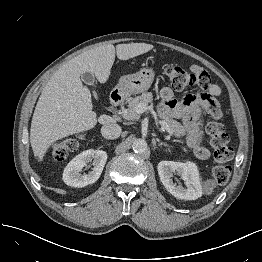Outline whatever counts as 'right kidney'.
<instances>
[{"instance_id":"ca27d5eb","label":"right kidney","mask_w":262,"mask_h":262,"mask_svg":"<svg viewBox=\"0 0 262 262\" xmlns=\"http://www.w3.org/2000/svg\"><path fill=\"white\" fill-rule=\"evenodd\" d=\"M106 161L107 153L105 151L86 150L67 164L63 172V181L69 186L78 188L92 184L100 177ZM89 162H92V171L82 175L80 172Z\"/></svg>"}]
</instances>
